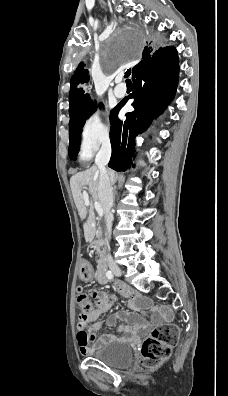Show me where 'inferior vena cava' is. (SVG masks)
<instances>
[{
	"instance_id": "602c4592",
	"label": "inferior vena cava",
	"mask_w": 228,
	"mask_h": 396,
	"mask_svg": "<svg viewBox=\"0 0 228 396\" xmlns=\"http://www.w3.org/2000/svg\"><path fill=\"white\" fill-rule=\"evenodd\" d=\"M110 156H111V144L109 141H106L101 146V149L95 159V164L97 165L100 172L98 191L100 195L102 208L105 214L108 240H110L111 238L112 220H113V214L111 212V209L113 207V188L111 186L110 177L106 170V165L109 162Z\"/></svg>"
}]
</instances>
